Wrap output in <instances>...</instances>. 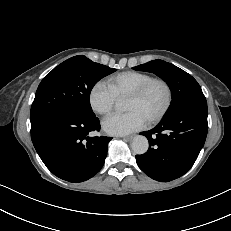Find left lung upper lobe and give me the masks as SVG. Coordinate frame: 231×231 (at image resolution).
I'll return each mask as SVG.
<instances>
[{"mask_svg":"<svg viewBox=\"0 0 231 231\" xmlns=\"http://www.w3.org/2000/svg\"><path fill=\"white\" fill-rule=\"evenodd\" d=\"M133 69L155 73L168 84L172 94V102L167 115L188 100L205 97L197 81L190 74L171 63L153 60L133 67Z\"/></svg>","mask_w":231,"mask_h":231,"instance_id":"left-lung-upper-lobe-1","label":"left lung upper lobe"}]
</instances>
